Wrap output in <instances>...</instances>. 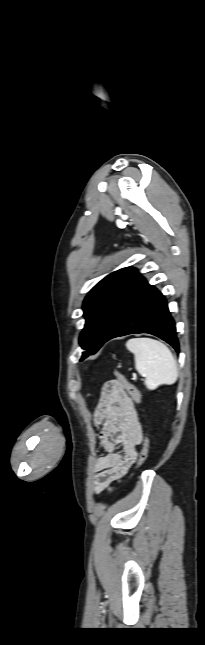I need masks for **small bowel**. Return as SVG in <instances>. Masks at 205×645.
<instances>
[{
  "instance_id": "obj_1",
  "label": "small bowel",
  "mask_w": 205,
  "mask_h": 645,
  "mask_svg": "<svg viewBox=\"0 0 205 645\" xmlns=\"http://www.w3.org/2000/svg\"><path fill=\"white\" fill-rule=\"evenodd\" d=\"M94 421L101 431L91 446L95 449L99 441L107 454L94 456L93 488L95 493L111 492L137 458L142 428L130 397L124 391L111 390L108 383L102 388Z\"/></svg>"
}]
</instances>
